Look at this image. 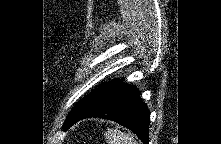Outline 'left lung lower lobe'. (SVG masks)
Listing matches in <instances>:
<instances>
[{
	"instance_id": "1",
	"label": "left lung lower lobe",
	"mask_w": 221,
	"mask_h": 144,
	"mask_svg": "<svg viewBox=\"0 0 221 144\" xmlns=\"http://www.w3.org/2000/svg\"><path fill=\"white\" fill-rule=\"evenodd\" d=\"M87 117L113 120L134 132L144 144H148L150 112L141 101L140 91L135 86L123 83V79H117L95 106L71 121L64 129Z\"/></svg>"
}]
</instances>
